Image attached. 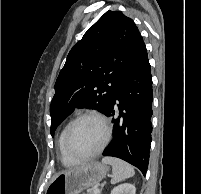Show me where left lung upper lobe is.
I'll return each mask as SVG.
<instances>
[{
  "label": "left lung upper lobe",
  "mask_w": 201,
  "mask_h": 194,
  "mask_svg": "<svg viewBox=\"0 0 201 194\" xmlns=\"http://www.w3.org/2000/svg\"><path fill=\"white\" fill-rule=\"evenodd\" d=\"M134 21L107 11L73 46L55 83L50 105L51 135L76 107L106 113L143 45Z\"/></svg>",
  "instance_id": "1"
}]
</instances>
